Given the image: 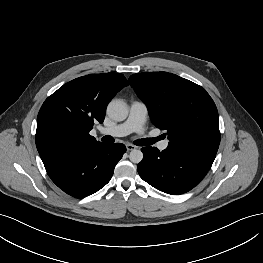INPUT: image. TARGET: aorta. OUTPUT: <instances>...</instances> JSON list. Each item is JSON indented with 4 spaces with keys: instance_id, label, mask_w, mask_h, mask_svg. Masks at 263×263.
<instances>
[{
    "instance_id": "762f6f07",
    "label": "aorta",
    "mask_w": 263,
    "mask_h": 263,
    "mask_svg": "<svg viewBox=\"0 0 263 263\" xmlns=\"http://www.w3.org/2000/svg\"><path fill=\"white\" fill-rule=\"evenodd\" d=\"M107 114L114 121H124L128 116V108L124 101L115 99L107 106ZM129 159L133 163H140L143 159L141 150L133 149L129 154Z\"/></svg>"
}]
</instances>
